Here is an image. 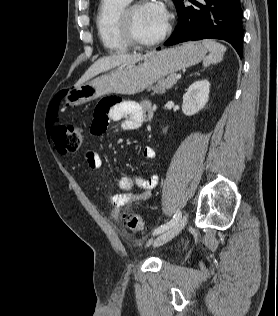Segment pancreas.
Returning a JSON list of instances; mask_svg holds the SVG:
<instances>
[{"label": "pancreas", "mask_w": 278, "mask_h": 316, "mask_svg": "<svg viewBox=\"0 0 278 316\" xmlns=\"http://www.w3.org/2000/svg\"><path fill=\"white\" fill-rule=\"evenodd\" d=\"M176 75L172 74L166 78L160 79L156 85L149 87L152 90V95L164 94L168 89H171L177 82Z\"/></svg>", "instance_id": "pancreas-1"}]
</instances>
